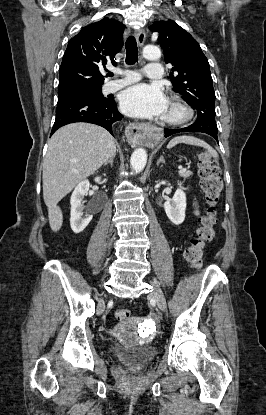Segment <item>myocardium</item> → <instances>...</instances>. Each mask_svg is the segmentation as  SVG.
<instances>
[{
    "instance_id": "f54148a6",
    "label": "myocardium",
    "mask_w": 266,
    "mask_h": 415,
    "mask_svg": "<svg viewBox=\"0 0 266 415\" xmlns=\"http://www.w3.org/2000/svg\"><path fill=\"white\" fill-rule=\"evenodd\" d=\"M170 106L178 111L177 116H163L161 123L166 126H181L189 122L194 115L193 109L181 97L173 96L170 100Z\"/></svg>"
}]
</instances>
